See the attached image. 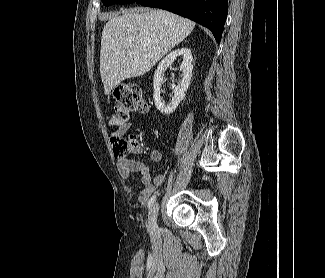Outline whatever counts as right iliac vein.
<instances>
[{"instance_id":"obj_1","label":"right iliac vein","mask_w":325,"mask_h":278,"mask_svg":"<svg viewBox=\"0 0 325 278\" xmlns=\"http://www.w3.org/2000/svg\"><path fill=\"white\" fill-rule=\"evenodd\" d=\"M157 214H158V204H155L148 214V220L151 230L155 232L157 230Z\"/></svg>"}]
</instances>
